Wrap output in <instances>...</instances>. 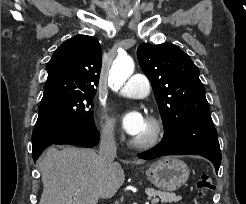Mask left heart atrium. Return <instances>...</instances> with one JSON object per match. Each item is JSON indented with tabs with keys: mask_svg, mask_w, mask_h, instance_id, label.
I'll return each mask as SVG.
<instances>
[{
	"mask_svg": "<svg viewBox=\"0 0 246 204\" xmlns=\"http://www.w3.org/2000/svg\"><path fill=\"white\" fill-rule=\"evenodd\" d=\"M120 122L124 131L136 136L144 126L145 118L143 114L136 109L125 111L120 116Z\"/></svg>",
	"mask_w": 246,
	"mask_h": 204,
	"instance_id": "left-heart-atrium-1",
	"label": "left heart atrium"
}]
</instances>
